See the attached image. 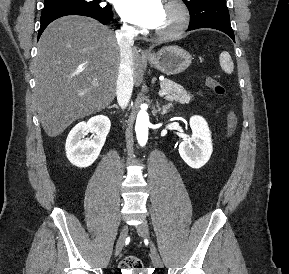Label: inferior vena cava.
<instances>
[{"label": "inferior vena cava", "instance_id": "inferior-vena-cava-1", "mask_svg": "<svg viewBox=\"0 0 289 274\" xmlns=\"http://www.w3.org/2000/svg\"><path fill=\"white\" fill-rule=\"evenodd\" d=\"M134 34V28L127 25H123L120 30L116 31V39L120 49V66L116 84V95L118 104L122 109L128 105L134 85L132 59Z\"/></svg>", "mask_w": 289, "mask_h": 274}]
</instances>
